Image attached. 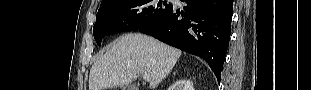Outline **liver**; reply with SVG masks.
<instances>
[{
  "label": "liver",
  "mask_w": 311,
  "mask_h": 90,
  "mask_svg": "<svg viewBox=\"0 0 311 90\" xmlns=\"http://www.w3.org/2000/svg\"><path fill=\"white\" fill-rule=\"evenodd\" d=\"M181 51L150 36L126 34L91 67L89 90L129 85L139 74L150 76L154 90L172 71Z\"/></svg>",
  "instance_id": "6515ba94"
}]
</instances>
